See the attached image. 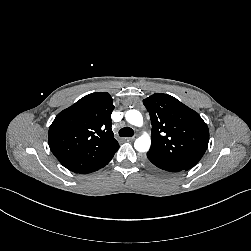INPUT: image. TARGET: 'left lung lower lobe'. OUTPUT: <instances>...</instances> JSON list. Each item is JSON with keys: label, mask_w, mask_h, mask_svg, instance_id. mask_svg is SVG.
I'll return each mask as SVG.
<instances>
[{"label": "left lung lower lobe", "mask_w": 251, "mask_h": 251, "mask_svg": "<svg viewBox=\"0 0 251 251\" xmlns=\"http://www.w3.org/2000/svg\"><path fill=\"white\" fill-rule=\"evenodd\" d=\"M147 158L148 159L146 160V164L148 165V167L163 175H171L185 170L179 165L164 160L150 156H147Z\"/></svg>", "instance_id": "1"}]
</instances>
